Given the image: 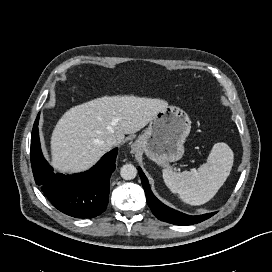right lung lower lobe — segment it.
Segmentation results:
<instances>
[{
  "label": "right lung lower lobe",
  "instance_id": "1",
  "mask_svg": "<svg viewBox=\"0 0 272 272\" xmlns=\"http://www.w3.org/2000/svg\"><path fill=\"white\" fill-rule=\"evenodd\" d=\"M39 114L31 134V165L37 185L61 212L75 218H93L105 211L110 191V177L115 170L118 148L105 154L84 173H54L44 159L38 134Z\"/></svg>",
  "mask_w": 272,
  "mask_h": 272
}]
</instances>
